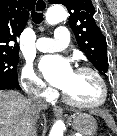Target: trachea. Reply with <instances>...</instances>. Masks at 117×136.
<instances>
[{
  "label": "trachea",
  "mask_w": 117,
  "mask_h": 136,
  "mask_svg": "<svg viewBox=\"0 0 117 136\" xmlns=\"http://www.w3.org/2000/svg\"><path fill=\"white\" fill-rule=\"evenodd\" d=\"M37 10H40L39 4L37 3ZM32 20L35 24H40L43 21V13L41 12H31Z\"/></svg>",
  "instance_id": "1"
}]
</instances>
